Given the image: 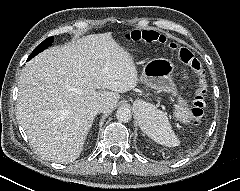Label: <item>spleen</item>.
Segmentation results:
<instances>
[{"mask_svg": "<svg viewBox=\"0 0 240 191\" xmlns=\"http://www.w3.org/2000/svg\"><path fill=\"white\" fill-rule=\"evenodd\" d=\"M140 127L147 136L161 145L176 147L180 144L166 114L152 105H148L141 115Z\"/></svg>", "mask_w": 240, "mask_h": 191, "instance_id": "1", "label": "spleen"}]
</instances>
